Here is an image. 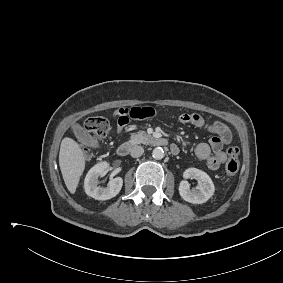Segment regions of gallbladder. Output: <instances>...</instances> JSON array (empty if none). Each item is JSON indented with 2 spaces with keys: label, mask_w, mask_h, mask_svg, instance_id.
Segmentation results:
<instances>
[{
  "label": "gallbladder",
  "mask_w": 283,
  "mask_h": 283,
  "mask_svg": "<svg viewBox=\"0 0 283 283\" xmlns=\"http://www.w3.org/2000/svg\"><path fill=\"white\" fill-rule=\"evenodd\" d=\"M72 131L78 141L83 145L93 148H97L99 146L98 142L79 124L73 125Z\"/></svg>",
  "instance_id": "gallbladder-1"
}]
</instances>
